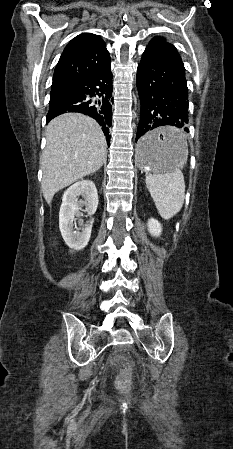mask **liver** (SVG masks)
<instances>
[{
  "instance_id": "obj_1",
  "label": "liver",
  "mask_w": 233,
  "mask_h": 449,
  "mask_svg": "<svg viewBox=\"0 0 233 449\" xmlns=\"http://www.w3.org/2000/svg\"><path fill=\"white\" fill-rule=\"evenodd\" d=\"M46 140L40 160L41 190L50 204L59 190L101 168L107 144L99 124L80 113H65L51 120Z\"/></svg>"
}]
</instances>
